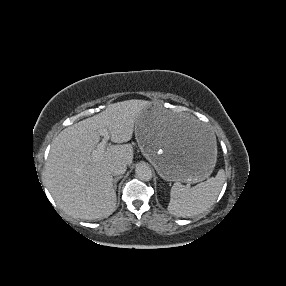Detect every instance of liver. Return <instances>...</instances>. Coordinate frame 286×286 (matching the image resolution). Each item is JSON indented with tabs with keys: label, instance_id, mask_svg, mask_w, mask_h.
Masks as SVG:
<instances>
[{
	"label": "liver",
	"instance_id": "1",
	"mask_svg": "<svg viewBox=\"0 0 286 286\" xmlns=\"http://www.w3.org/2000/svg\"><path fill=\"white\" fill-rule=\"evenodd\" d=\"M149 105L144 100H126L110 104L87 119L62 130L53 140L46 162V185L57 205L68 215L83 220L109 216L116 207V193L110 166L115 162L131 165L134 125L141 111ZM174 127L185 136L206 134L196 121L184 114H167ZM106 128L111 141L96 161L92 151L100 141L99 130Z\"/></svg>",
	"mask_w": 286,
	"mask_h": 286
}]
</instances>
